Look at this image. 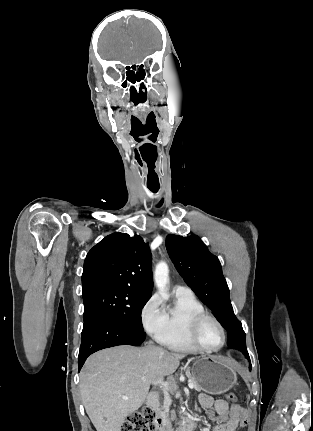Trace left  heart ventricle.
Wrapping results in <instances>:
<instances>
[{"mask_svg": "<svg viewBox=\"0 0 313 431\" xmlns=\"http://www.w3.org/2000/svg\"><path fill=\"white\" fill-rule=\"evenodd\" d=\"M198 338L204 346L209 348L218 347L222 341V335L218 326L210 320L202 324L198 332Z\"/></svg>", "mask_w": 313, "mask_h": 431, "instance_id": "left-heart-ventricle-1", "label": "left heart ventricle"}]
</instances>
